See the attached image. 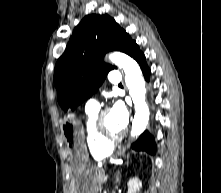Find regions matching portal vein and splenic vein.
<instances>
[{
  "label": "portal vein and splenic vein",
  "instance_id": "18ae733b",
  "mask_svg": "<svg viewBox=\"0 0 221 193\" xmlns=\"http://www.w3.org/2000/svg\"><path fill=\"white\" fill-rule=\"evenodd\" d=\"M108 180V175H104L103 177H102V182H106Z\"/></svg>",
  "mask_w": 221,
  "mask_h": 193
}]
</instances>
